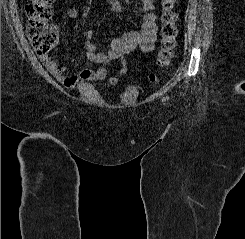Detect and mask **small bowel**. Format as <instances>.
I'll list each match as a JSON object with an SVG mask.
<instances>
[{
	"instance_id": "1",
	"label": "small bowel",
	"mask_w": 245,
	"mask_h": 239,
	"mask_svg": "<svg viewBox=\"0 0 245 239\" xmlns=\"http://www.w3.org/2000/svg\"><path fill=\"white\" fill-rule=\"evenodd\" d=\"M139 1V13L143 19L140 30L125 32L114 38L108 51H98L97 45L91 41L93 31L85 32L83 48L86 50V58L99 64V68H85L76 74L68 75L66 68L59 66L50 56L40 57L41 62L68 89H73L81 83L92 81L104 82L107 86L117 85L119 77L124 76L127 72L125 57L129 53L135 50L148 53L154 49L157 34V15L155 13L154 0ZM109 7L115 13L123 12V5L120 0H110ZM77 14L75 8H70L65 12V16L68 18H76ZM113 61H119V67L115 73L109 74L106 66Z\"/></svg>"
}]
</instances>
